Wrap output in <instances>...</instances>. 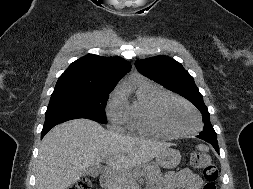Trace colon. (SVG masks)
I'll return each mask as SVG.
<instances>
[{"mask_svg": "<svg viewBox=\"0 0 253 189\" xmlns=\"http://www.w3.org/2000/svg\"><path fill=\"white\" fill-rule=\"evenodd\" d=\"M190 164L201 172L206 180L203 189H216L215 181L218 177V169L211 157L201 151H195L190 156ZM68 189H91V182L86 179H80Z\"/></svg>", "mask_w": 253, "mask_h": 189, "instance_id": "colon-1", "label": "colon"}]
</instances>
